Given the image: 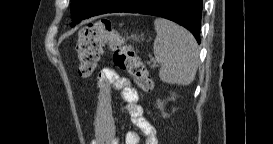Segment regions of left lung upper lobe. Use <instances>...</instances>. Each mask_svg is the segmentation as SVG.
<instances>
[{
    "label": "left lung upper lobe",
    "mask_w": 273,
    "mask_h": 144,
    "mask_svg": "<svg viewBox=\"0 0 273 144\" xmlns=\"http://www.w3.org/2000/svg\"><path fill=\"white\" fill-rule=\"evenodd\" d=\"M96 0H89L87 4H85V1L83 0H71V13L76 14L78 12H83L88 8H91L93 6V3Z\"/></svg>",
    "instance_id": "left-lung-upper-lobe-1"
}]
</instances>
